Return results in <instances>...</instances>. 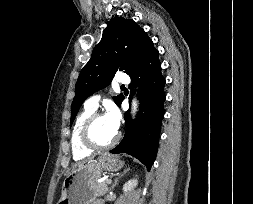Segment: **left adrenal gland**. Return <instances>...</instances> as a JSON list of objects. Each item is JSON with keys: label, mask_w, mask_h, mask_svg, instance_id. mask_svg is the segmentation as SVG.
Segmentation results:
<instances>
[{"label": "left adrenal gland", "mask_w": 253, "mask_h": 204, "mask_svg": "<svg viewBox=\"0 0 253 204\" xmlns=\"http://www.w3.org/2000/svg\"><path fill=\"white\" fill-rule=\"evenodd\" d=\"M127 171H129V168H127L126 170H124L123 171V173H119V174H117V177L114 179V182H113V184L111 185V187H110V190L111 189H114V187L117 185V183H118V180L123 176V174L124 173H126Z\"/></svg>", "instance_id": "obj_1"}]
</instances>
